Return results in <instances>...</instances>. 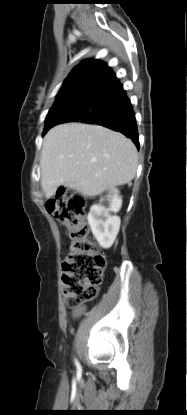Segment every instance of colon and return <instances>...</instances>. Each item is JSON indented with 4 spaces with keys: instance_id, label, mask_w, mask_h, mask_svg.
Segmentation results:
<instances>
[{
    "instance_id": "obj_1",
    "label": "colon",
    "mask_w": 187,
    "mask_h": 415,
    "mask_svg": "<svg viewBox=\"0 0 187 415\" xmlns=\"http://www.w3.org/2000/svg\"><path fill=\"white\" fill-rule=\"evenodd\" d=\"M86 199L62 187L47 203V210L66 229L69 251L62 264V283L66 304L77 308L97 296L106 266L105 256L90 237L85 219Z\"/></svg>"
}]
</instances>
